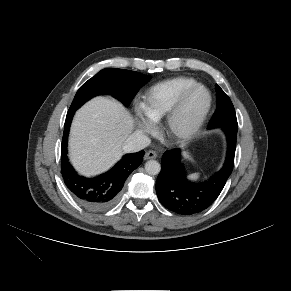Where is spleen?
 <instances>
[{"label":"spleen","instance_id":"3e777b00","mask_svg":"<svg viewBox=\"0 0 291 291\" xmlns=\"http://www.w3.org/2000/svg\"><path fill=\"white\" fill-rule=\"evenodd\" d=\"M199 177V174L198 173H194V174H191L190 175V179H192V180H195V179H197Z\"/></svg>","mask_w":291,"mask_h":291}]
</instances>
